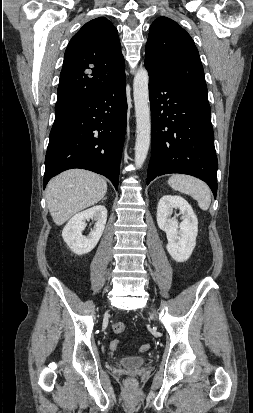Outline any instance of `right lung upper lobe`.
Listing matches in <instances>:
<instances>
[{
  "label": "right lung upper lobe",
  "mask_w": 253,
  "mask_h": 413,
  "mask_svg": "<svg viewBox=\"0 0 253 413\" xmlns=\"http://www.w3.org/2000/svg\"><path fill=\"white\" fill-rule=\"evenodd\" d=\"M123 75L117 29L104 17L87 22L65 51L55 112L100 93Z\"/></svg>",
  "instance_id": "right-lung-upper-lobe-1"
}]
</instances>
